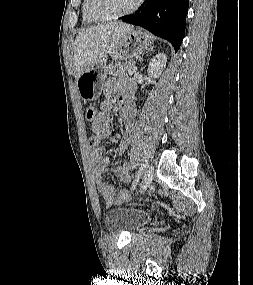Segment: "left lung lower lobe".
<instances>
[{"label": "left lung lower lobe", "mask_w": 253, "mask_h": 285, "mask_svg": "<svg viewBox=\"0 0 253 285\" xmlns=\"http://www.w3.org/2000/svg\"><path fill=\"white\" fill-rule=\"evenodd\" d=\"M189 0H146L135 14L120 17L167 39L179 49L185 33Z\"/></svg>", "instance_id": "obj_1"}]
</instances>
